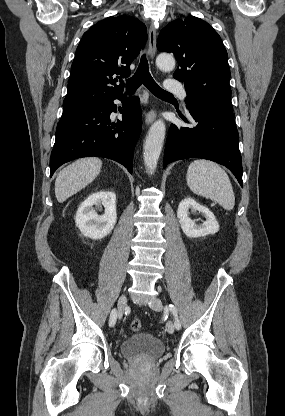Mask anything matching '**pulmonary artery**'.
I'll use <instances>...</instances> for the list:
<instances>
[{
	"instance_id": "pulmonary-artery-1",
	"label": "pulmonary artery",
	"mask_w": 285,
	"mask_h": 416,
	"mask_svg": "<svg viewBox=\"0 0 285 416\" xmlns=\"http://www.w3.org/2000/svg\"><path fill=\"white\" fill-rule=\"evenodd\" d=\"M167 87L169 88V94L175 95L177 94L182 100H185L187 97V91L182 84L178 83H167Z\"/></svg>"
}]
</instances>
